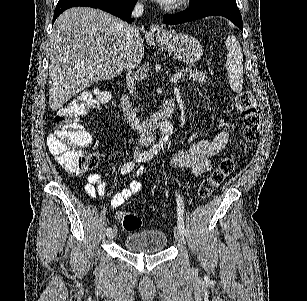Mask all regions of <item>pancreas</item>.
<instances>
[{"instance_id":"1","label":"pancreas","mask_w":307,"mask_h":301,"mask_svg":"<svg viewBox=\"0 0 307 301\" xmlns=\"http://www.w3.org/2000/svg\"><path fill=\"white\" fill-rule=\"evenodd\" d=\"M180 72H183L179 80H192V82H201L204 84L207 80L206 72L204 70H196V68H182Z\"/></svg>"}]
</instances>
